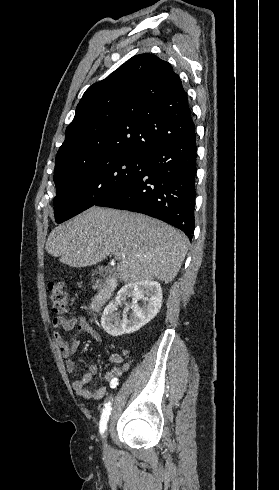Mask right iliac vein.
<instances>
[{
  "mask_svg": "<svg viewBox=\"0 0 279 490\" xmlns=\"http://www.w3.org/2000/svg\"><path fill=\"white\" fill-rule=\"evenodd\" d=\"M105 453H106L107 457L109 458L110 457V452H109L108 445L105 446Z\"/></svg>",
  "mask_w": 279,
  "mask_h": 490,
  "instance_id": "1",
  "label": "right iliac vein"
}]
</instances>
